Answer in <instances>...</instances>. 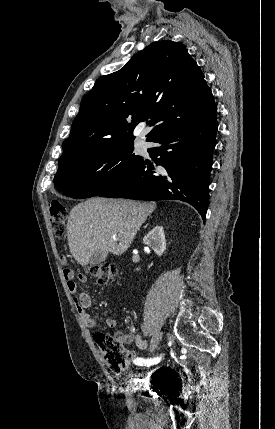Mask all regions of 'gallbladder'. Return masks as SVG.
I'll return each mask as SVG.
<instances>
[{
  "label": "gallbladder",
  "instance_id": "bac80fb5",
  "mask_svg": "<svg viewBox=\"0 0 275 429\" xmlns=\"http://www.w3.org/2000/svg\"><path fill=\"white\" fill-rule=\"evenodd\" d=\"M107 256H108L107 252L96 251L90 259V264L98 265V264L104 262L106 260Z\"/></svg>",
  "mask_w": 275,
  "mask_h": 429
}]
</instances>
